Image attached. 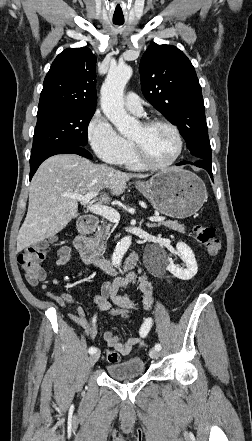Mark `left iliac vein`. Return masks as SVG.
<instances>
[{"label":"left iliac vein","instance_id":"4c4485c4","mask_svg":"<svg viewBox=\"0 0 252 441\" xmlns=\"http://www.w3.org/2000/svg\"><path fill=\"white\" fill-rule=\"evenodd\" d=\"M149 355H150V357L152 358V359H158L159 358V351L158 350H156V349H151L150 351H149Z\"/></svg>","mask_w":252,"mask_h":441}]
</instances>
